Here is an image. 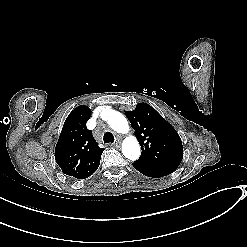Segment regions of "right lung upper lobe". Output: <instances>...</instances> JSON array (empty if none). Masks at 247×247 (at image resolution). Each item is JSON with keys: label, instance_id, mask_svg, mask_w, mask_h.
<instances>
[{"label": "right lung upper lobe", "instance_id": "obj_1", "mask_svg": "<svg viewBox=\"0 0 247 247\" xmlns=\"http://www.w3.org/2000/svg\"><path fill=\"white\" fill-rule=\"evenodd\" d=\"M90 115L87 106L75 108L65 120L55 148L57 164L66 175L77 179L87 178L98 169L104 150L86 127Z\"/></svg>", "mask_w": 247, "mask_h": 247}]
</instances>
